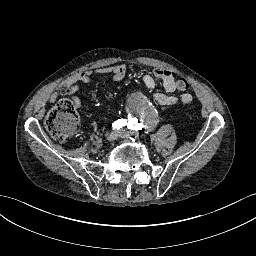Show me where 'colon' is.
Returning a JSON list of instances; mask_svg holds the SVG:
<instances>
[{
    "mask_svg": "<svg viewBox=\"0 0 256 256\" xmlns=\"http://www.w3.org/2000/svg\"><path fill=\"white\" fill-rule=\"evenodd\" d=\"M188 88V81L184 78H180L178 81V89L180 91H186ZM75 115L76 108L72 101L60 100L46 118V131L56 140L63 141L67 139L74 130Z\"/></svg>",
    "mask_w": 256,
    "mask_h": 256,
    "instance_id": "obj_1",
    "label": "colon"
}]
</instances>
